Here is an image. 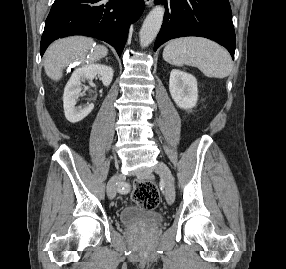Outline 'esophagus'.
<instances>
[{"label":"esophagus","instance_id":"34e87169","mask_svg":"<svg viewBox=\"0 0 286 269\" xmlns=\"http://www.w3.org/2000/svg\"><path fill=\"white\" fill-rule=\"evenodd\" d=\"M144 1L146 5L151 6L154 0H144Z\"/></svg>","mask_w":286,"mask_h":269}]
</instances>
